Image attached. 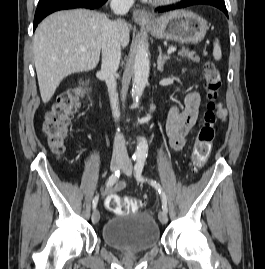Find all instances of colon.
Instances as JSON below:
<instances>
[{"label": "colon", "instance_id": "5ec220e1", "mask_svg": "<svg viewBox=\"0 0 265 269\" xmlns=\"http://www.w3.org/2000/svg\"><path fill=\"white\" fill-rule=\"evenodd\" d=\"M203 72L208 90V103L192 151V164L195 169L204 165L212 150L217 123L216 100L221 87L220 72L213 62H206ZM81 97V89L62 94L45 114L43 133L50 148L57 155L62 154L66 148L68 127L80 105ZM140 206V201L135 198L115 194L110 195L106 200V207L118 214L135 212Z\"/></svg>", "mask_w": 265, "mask_h": 269}]
</instances>
